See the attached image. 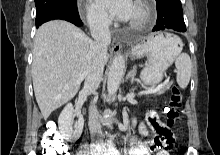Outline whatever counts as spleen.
Returning a JSON list of instances; mask_svg holds the SVG:
<instances>
[{
	"instance_id": "3e777b00",
	"label": "spleen",
	"mask_w": 220,
	"mask_h": 155,
	"mask_svg": "<svg viewBox=\"0 0 220 155\" xmlns=\"http://www.w3.org/2000/svg\"><path fill=\"white\" fill-rule=\"evenodd\" d=\"M177 69L176 80L180 88L185 89L190 81L192 73V62L187 53L180 54L175 61Z\"/></svg>"
}]
</instances>
